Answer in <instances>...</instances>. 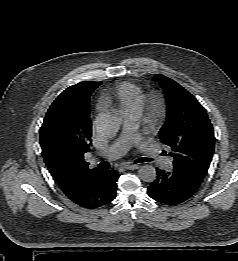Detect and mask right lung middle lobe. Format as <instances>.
<instances>
[{"mask_svg": "<svg viewBox=\"0 0 238 261\" xmlns=\"http://www.w3.org/2000/svg\"><path fill=\"white\" fill-rule=\"evenodd\" d=\"M72 109V101L68 94L61 93L50 106L44 120L67 118Z\"/></svg>", "mask_w": 238, "mask_h": 261, "instance_id": "obj_1", "label": "right lung middle lobe"}]
</instances>
